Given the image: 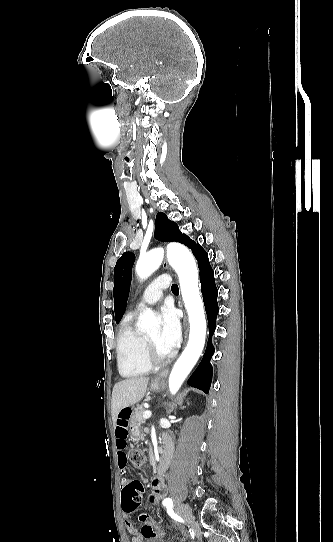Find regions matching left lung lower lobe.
I'll return each instance as SVG.
<instances>
[{
  "instance_id": "1",
  "label": "left lung lower lobe",
  "mask_w": 333,
  "mask_h": 542,
  "mask_svg": "<svg viewBox=\"0 0 333 542\" xmlns=\"http://www.w3.org/2000/svg\"><path fill=\"white\" fill-rule=\"evenodd\" d=\"M194 256L198 261V267L200 270L201 291L208 317L210 334L203 359L187 383L192 387L208 393L213 371L212 365L210 364V359L214 354V347L211 343V338L216 328V317L219 312L217 304L218 290L214 281V272L208 262V254L200 246L194 253Z\"/></svg>"
}]
</instances>
